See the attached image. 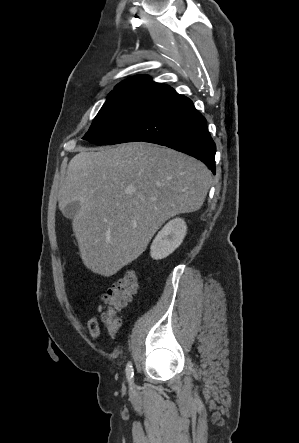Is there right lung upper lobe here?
I'll return each instance as SVG.
<instances>
[{"label": "right lung upper lobe", "instance_id": "1", "mask_svg": "<svg viewBox=\"0 0 299 443\" xmlns=\"http://www.w3.org/2000/svg\"><path fill=\"white\" fill-rule=\"evenodd\" d=\"M144 87H160V88H166V89L170 88L169 85L154 82L147 75H137V76L130 77V78L122 81L121 83H119L115 87L114 90L128 89V88H144Z\"/></svg>", "mask_w": 299, "mask_h": 443}]
</instances>
